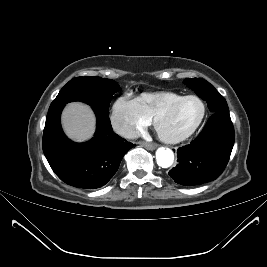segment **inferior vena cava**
<instances>
[{
  "label": "inferior vena cava",
  "mask_w": 267,
  "mask_h": 267,
  "mask_svg": "<svg viewBox=\"0 0 267 267\" xmlns=\"http://www.w3.org/2000/svg\"><path fill=\"white\" fill-rule=\"evenodd\" d=\"M113 129L117 134L128 139H135L138 137V132L135 128L126 123H114Z\"/></svg>",
  "instance_id": "1"
}]
</instances>
